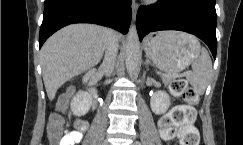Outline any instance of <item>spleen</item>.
<instances>
[{
  "label": "spleen",
  "instance_id": "spleen-1",
  "mask_svg": "<svg viewBox=\"0 0 243 145\" xmlns=\"http://www.w3.org/2000/svg\"><path fill=\"white\" fill-rule=\"evenodd\" d=\"M200 52L201 55L192 62V72L186 78L199 94H203L212 74V61L206 49L202 48Z\"/></svg>",
  "mask_w": 243,
  "mask_h": 145
}]
</instances>
